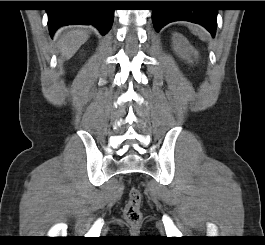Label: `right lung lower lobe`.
<instances>
[{"label":"right lung lower lobe","instance_id":"obj_1","mask_svg":"<svg viewBox=\"0 0 265 245\" xmlns=\"http://www.w3.org/2000/svg\"><path fill=\"white\" fill-rule=\"evenodd\" d=\"M64 4V8L47 10L51 36L58 27L72 24L94 25L103 35L110 30L114 18L110 1H66Z\"/></svg>","mask_w":265,"mask_h":245}]
</instances>
